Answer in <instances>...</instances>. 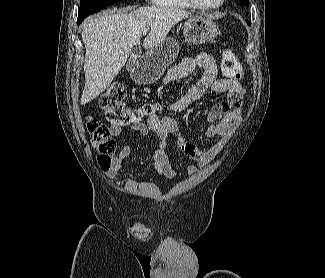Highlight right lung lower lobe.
I'll list each match as a JSON object with an SVG mask.
<instances>
[{"mask_svg":"<svg viewBox=\"0 0 325 278\" xmlns=\"http://www.w3.org/2000/svg\"><path fill=\"white\" fill-rule=\"evenodd\" d=\"M87 16H83V17H79L78 20H77V24L79 25L84 18H86Z\"/></svg>","mask_w":325,"mask_h":278,"instance_id":"right-lung-lower-lobe-1","label":"right lung lower lobe"}]
</instances>
